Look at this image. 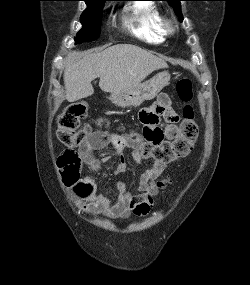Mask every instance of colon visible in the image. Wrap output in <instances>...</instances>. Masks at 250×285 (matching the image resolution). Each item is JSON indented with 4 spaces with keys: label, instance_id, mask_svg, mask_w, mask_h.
Listing matches in <instances>:
<instances>
[{
    "label": "colon",
    "instance_id": "1",
    "mask_svg": "<svg viewBox=\"0 0 250 285\" xmlns=\"http://www.w3.org/2000/svg\"><path fill=\"white\" fill-rule=\"evenodd\" d=\"M178 97L186 103L183 111V120L177 136L166 141V144H154L147 141L140 149V155L157 161L168 163L186 156L193 148L198 137V126L194 120V114L189 102L193 97L192 83L187 78H182L176 86ZM89 106L84 101L69 105L58 122L57 137L60 142L68 147L58 158V166L61 169L64 181L72 185L79 180L81 159L73 148L81 146L89 128H81V122L88 115Z\"/></svg>",
    "mask_w": 250,
    "mask_h": 285
}]
</instances>
